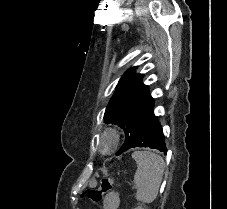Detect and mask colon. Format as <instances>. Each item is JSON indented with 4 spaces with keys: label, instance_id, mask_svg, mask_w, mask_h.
Masks as SVG:
<instances>
[{
    "label": "colon",
    "instance_id": "5ec220e1",
    "mask_svg": "<svg viewBox=\"0 0 227 209\" xmlns=\"http://www.w3.org/2000/svg\"><path fill=\"white\" fill-rule=\"evenodd\" d=\"M113 181L110 178L103 179L98 188L88 189L84 192L83 197L92 203H98L103 193L111 190Z\"/></svg>",
    "mask_w": 227,
    "mask_h": 209
}]
</instances>
